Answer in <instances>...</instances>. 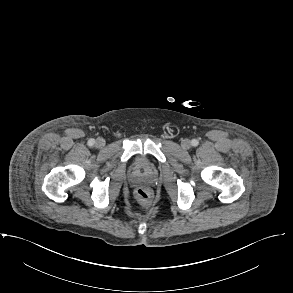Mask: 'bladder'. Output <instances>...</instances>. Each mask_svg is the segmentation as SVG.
I'll return each mask as SVG.
<instances>
[{"instance_id": "31cf9c89", "label": "bladder", "mask_w": 293, "mask_h": 293, "mask_svg": "<svg viewBox=\"0 0 293 293\" xmlns=\"http://www.w3.org/2000/svg\"><path fill=\"white\" fill-rule=\"evenodd\" d=\"M137 166L138 168L142 169V170H148L147 167L145 166L144 162L140 159L137 161Z\"/></svg>"}]
</instances>
